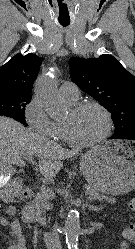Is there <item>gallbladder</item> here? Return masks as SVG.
<instances>
[{
    "instance_id": "bac80fb5",
    "label": "gallbladder",
    "mask_w": 135,
    "mask_h": 249,
    "mask_svg": "<svg viewBox=\"0 0 135 249\" xmlns=\"http://www.w3.org/2000/svg\"><path fill=\"white\" fill-rule=\"evenodd\" d=\"M9 169V167L7 166V165H5V164H3V163H1L0 162V173H1V171H5V173H6V171Z\"/></svg>"
}]
</instances>
